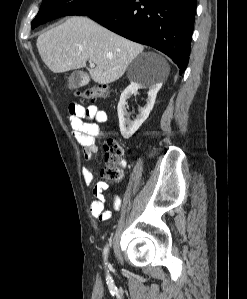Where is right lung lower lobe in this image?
Here are the masks:
<instances>
[{
    "label": "right lung lower lobe",
    "mask_w": 247,
    "mask_h": 299,
    "mask_svg": "<svg viewBox=\"0 0 247 299\" xmlns=\"http://www.w3.org/2000/svg\"><path fill=\"white\" fill-rule=\"evenodd\" d=\"M196 0H124L88 16L109 30L169 56L180 68L188 64Z\"/></svg>",
    "instance_id": "1"
}]
</instances>
